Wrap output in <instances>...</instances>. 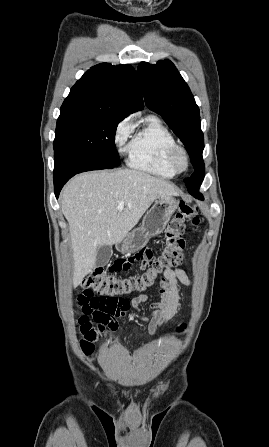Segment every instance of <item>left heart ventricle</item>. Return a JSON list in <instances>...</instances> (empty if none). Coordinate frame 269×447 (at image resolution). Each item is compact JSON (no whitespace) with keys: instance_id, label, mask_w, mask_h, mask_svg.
Returning a JSON list of instances; mask_svg holds the SVG:
<instances>
[{"instance_id":"left-heart-ventricle-1","label":"left heart ventricle","mask_w":269,"mask_h":447,"mask_svg":"<svg viewBox=\"0 0 269 447\" xmlns=\"http://www.w3.org/2000/svg\"><path fill=\"white\" fill-rule=\"evenodd\" d=\"M181 166H182V167L184 166V163H183V162H181Z\"/></svg>"}]
</instances>
